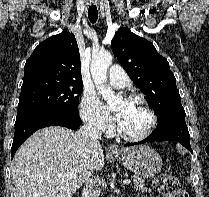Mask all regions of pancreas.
<instances>
[{"label":"pancreas","instance_id":"pancreas-1","mask_svg":"<svg viewBox=\"0 0 209 197\" xmlns=\"http://www.w3.org/2000/svg\"><path fill=\"white\" fill-rule=\"evenodd\" d=\"M133 182H134V186H133L134 189L141 191V192H149V193L151 192V189H148L145 186V182L142 178L134 177Z\"/></svg>","mask_w":209,"mask_h":197}]
</instances>
